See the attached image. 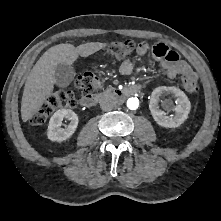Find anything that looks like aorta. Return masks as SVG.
<instances>
[{
	"instance_id": "1",
	"label": "aorta",
	"mask_w": 221,
	"mask_h": 221,
	"mask_svg": "<svg viewBox=\"0 0 221 221\" xmlns=\"http://www.w3.org/2000/svg\"><path fill=\"white\" fill-rule=\"evenodd\" d=\"M139 106V100L136 97H131L127 100V107L131 110H136Z\"/></svg>"
}]
</instances>
